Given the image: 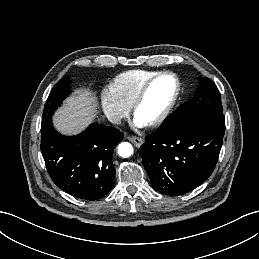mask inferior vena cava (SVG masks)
<instances>
[{"label": "inferior vena cava", "mask_w": 259, "mask_h": 259, "mask_svg": "<svg viewBox=\"0 0 259 259\" xmlns=\"http://www.w3.org/2000/svg\"><path fill=\"white\" fill-rule=\"evenodd\" d=\"M109 121L113 124H120L121 123V117L120 116H117V115H114V116H110L109 118Z\"/></svg>", "instance_id": "602c4592"}]
</instances>
